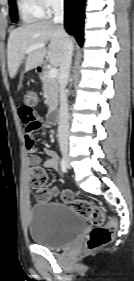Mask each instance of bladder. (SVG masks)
<instances>
[{
    "label": "bladder",
    "mask_w": 134,
    "mask_h": 281,
    "mask_svg": "<svg viewBox=\"0 0 134 281\" xmlns=\"http://www.w3.org/2000/svg\"><path fill=\"white\" fill-rule=\"evenodd\" d=\"M87 227L73 207L56 202L33 205L29 211V235L42 246L58 249L73 242Z\"/></svg>",
    "instance_id": "bladder-1"
}]
</instances>
